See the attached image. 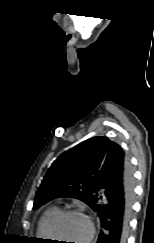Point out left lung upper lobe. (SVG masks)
<instances>
[{
	"label": "left lung upper lobe",
	"mask_w": 154,
	"mask_h": 243,
	"mask_svg": "<svg viewBox=\"0 0 154 243\" xmlns=\"http://www.w3.org/2000/svg\"><path fill=\"white\" fill-rule=\"evenodd\" d=\"M117 147L108 138L97 136L62 153L37 190L33 209L58 197L79 199L93 209L98 174L111 148Z\"/></svg>",
	"instance_id": "5c2ea615"
}]
</instances>
